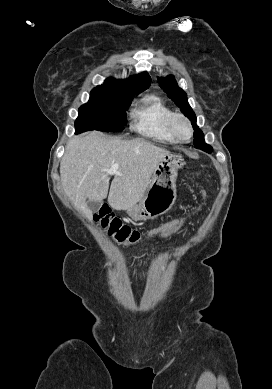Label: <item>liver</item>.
<instances>
[{"label":"liver","instance_id":"obj_1","mask_svg":"<svg viewBox=\"0 0 272 389\" xmlns=\"http://www.w3.org/2000/svg\"><path fill=\"white\" fill-rule=\"evenodd\" d=\"M169 151L142 138H107L94 131L69 140L60 163L61 184L74 206L89 219L87 199L102 201L108 195L107 170L119 165L114 174L108 203L115 210L137 204L149 185L158 163Z\"/></svg>","mask_w":272,"mask_h":389}]
</instances>
